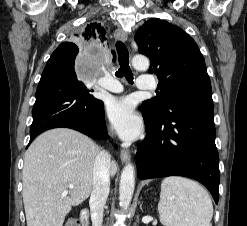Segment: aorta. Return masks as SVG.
<instances>
[{
	"instance_id": "obj_1",
	"label": "aorta",
	"mask_w": 247,
	"mask_h": 226,
	"mask_svg": "<svg viewBox=\"0 0 247 226\" xmlns=\"http://www.w3.org/2000/svg\"><path fill=\"white\" fill-rule=\"evenodd\" d=\"M132 65L137 70H147L149 68V60L142 55H136L132 59ZM135 187L134 167L132 164H127L121 173L119 186V201L123 209H127L131 203Z\"/></svg>"
}]
</instances>
